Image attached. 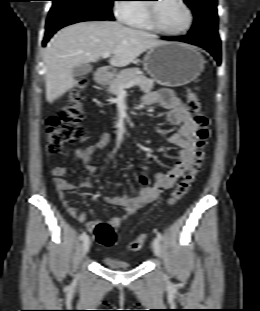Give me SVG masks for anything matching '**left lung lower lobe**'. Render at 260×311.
<instances>
[{
  "mask_svg": "<svg viewBox=\"0 0 260 311\" xmlns=\"http://www.w3.org/2000/svg\"><path fill=\"white\" fill-rule=\"evenodd\" d=\"M164 39L173 40V41H182V42L200 46L206 49L208 52L211 53V55L214 56V58L217 60L218 65H220L221 63V42L220 40H213V39L193 37V36L164 38Z\"/></svg>",
  "mask_w": 260,
  "mask_h": 311,
  "instance_id": "left-lung-lower-lobe-1",
  "label": "left lung lower lobe"
}]
</instances>
